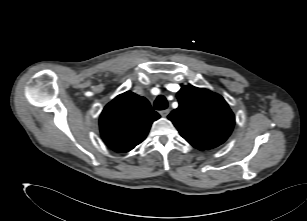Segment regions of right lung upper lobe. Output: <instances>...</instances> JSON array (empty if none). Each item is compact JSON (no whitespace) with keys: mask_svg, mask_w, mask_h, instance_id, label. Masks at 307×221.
Returning <instances> with one entry per match:
<instances>
[{"mask_svg":"<svg viewBox=\"0 0 307 221\" xmlns=\"http://www.w3.org/2000/svg\"><path fill=\"white\" fill-rule=\"evenodd\" d=\"M160 118L148 100L131 91L118 95L100 115L104 142L115 152H128L147 136L153 121Z\"/></svg>","mask_w":307,"mask_h":221,"instance_id":"right-lung-upper-lobe-1","label":"right lung upper lobe"}]
</instances>
